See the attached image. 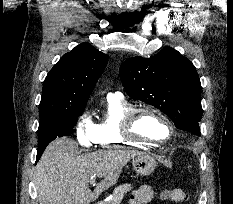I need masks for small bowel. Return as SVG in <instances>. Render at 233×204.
<instances>
[{
  "instance_id": "obj_1",
  "label": "small bowel",
  "mask_w": 233,
  "mask_h": 204,
  "mask_svg": "<svg viewBox=\"0 0 233 204\" xmlns=\"http://www.w3.org/2000/svg\"><path fill=\"white\" fill-rule=\"evenodd\" d=\"M178 194V200L176 204H180L187 199V195L184 191L180 189H175ZM153 198V190L149 186H141L135 190L129 200V204H146L150 202Z\"/></svg>"
}]
</instances>
